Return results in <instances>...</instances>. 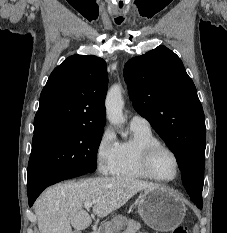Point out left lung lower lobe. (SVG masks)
I'll use <instances>...</instances> for the list:
<instances>
[{
    "mask_svg": "<svg viewBox=\"0 0 227 233\" xmlns=\"http://www.w3.org/2000/svg\"><path fill=\"white\" fill-rule=\"evenodd\" d=\"M191 199L197 205L198 208H202V201H199L197 198H191Z\"/></svg>",
    "mask_w": 227,
    "mask_h": 233,
    "instance_id": "0a47b994",
    "label": "left lung lower lobe"
}]
</instances>
